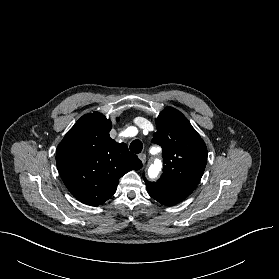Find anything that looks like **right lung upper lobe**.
I'll return each mask as SVG.
<instances>
[{"instance_id":"1","label":"right lung upper lobe","mask_w":279,"mask_h":279,"mask_svg":"<svg viewBox=\"0 0 279 279\" xmlns=\"http://www.w3.org/2000/svg\"><path fill=\"white\" fill-rule=\"evenodd\" d=\"M111 126L100 113L86 114L57 147L56 163L65 186L90 206L103 204L115 193L120 177L142 167L125 143L110 138Z\"/></svg>"}]
</instances>
